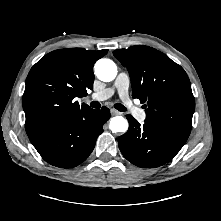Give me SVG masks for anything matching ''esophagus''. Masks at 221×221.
<instances>
[{
    "label": "esophagus",
    "instance_id": "34e87169",
    "mask_svg": "<svg viewBox=\"0 0 221 221\" xmlns=\"http://www.w3.org/2000/svg\"><path fill=\"white\" fill-rule=\"evenodd\" d=\"M111 113L113 114V115H120L121 113L118 111V110H116V109H111Z\"/></svg>",
    "mask_w": 221,
    "mask_h": 221
}]
</instances>
